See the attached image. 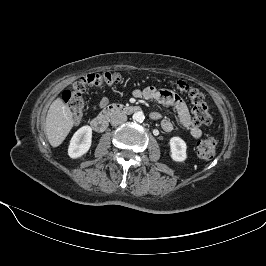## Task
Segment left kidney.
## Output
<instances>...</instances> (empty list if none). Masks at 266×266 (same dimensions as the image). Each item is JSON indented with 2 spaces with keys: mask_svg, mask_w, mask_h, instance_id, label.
<instances>
[{
  "mask_svg": "<svg viewBox=\"0 0 266 266\" xmlns=\"http://www.w3.org/2000/svg\"><path fill=\"white\" fill-rule=\"evenodd\" d=\"M171 158L176 162H183L187 158L186 143L180 137H172L169 141Z\"/></svg>",
  "mask_w": 266,
  "mask_h": 266,
  "instance_id": "obj_1",
  "label": "left kidney"
}]
</instances>
